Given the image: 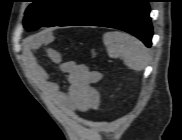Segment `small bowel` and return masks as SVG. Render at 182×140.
<instances>
[{
	"label": "small bowel",
	"instance_id": "obj_1",
	"mask_svg": "<svg viewBox=\"0 0 182 140\" xmlns=\"http://www.w3.org/2000/svg\"><path fill=\"white\" fill-rule=\"evenodd\" d=\"M46 38L50 35L46 34ZM48 58L68 74V86L61 90L59 85L49 79L47 72L35 60L31 59L29 68L34 81L50 98L70 114L88 112L98 107L99 92L93 87L102 78V74L90 70L86 65L76 61H63L61 54L55 50L47 52Z\"/></svg>",
	"mask_w": 182,
	"mask_h": 140
}]
</instances>
